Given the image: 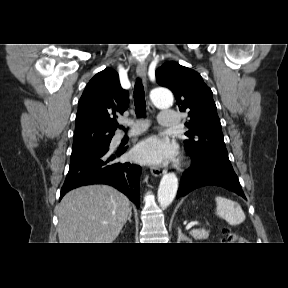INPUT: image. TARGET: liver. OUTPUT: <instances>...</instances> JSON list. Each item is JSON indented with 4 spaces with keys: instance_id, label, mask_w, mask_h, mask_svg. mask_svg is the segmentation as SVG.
<instances>
[{
    "instance_id": "liver-1",
    "label": "liver",
    "mask_w": 288,
    "mask_h": 288,
    "mask_svg": "<svg viewBox=\"0 0 288 288\" xmlns=\"http://www.w3.org/2000/svg\"><path fill=\"white\" fill-rule=\"evenodd\" d=\"M130 201L107 185L68 192L58 208L60 243H112L130 212Z\"/></svg>"
}]
</instances>
